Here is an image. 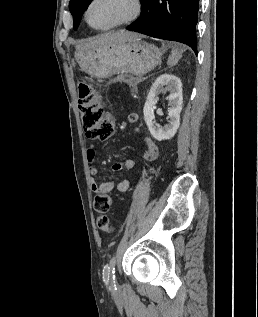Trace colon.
I'll return each instance as SVG.
<instances>
[{"label": "colon", "mask_w": 258, "mask_h": 317, "mask_svg": "<svg viewBox=\"0 0 258 317\" xmlns=\"http://www.w3.org/2000/svg\"><path fill=\"white\" fill-rule=\"evenodd\" d=\"M78 105L82 126L88 138L104 140L112 136L115 127L113 116L102 107L95 91L85 83L79 85ZM93 207L99 214L97 218L98 228L105 232L111 231L109 218L106 215L112 208L109 195L97 194Z\"/></svg>", "instance_id": "obj_1"}]
</instances>
